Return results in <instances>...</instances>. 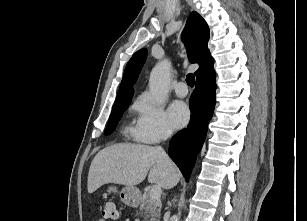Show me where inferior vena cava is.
Here are the masks:
<instances>
[{
    "instance_id": "obj_1",
    "label": "inferior vena cava",
    "mask_w": 307,
    "mask_h": 221,
    "mask_svg": "<svg viewBox=\"0 0 307 221\" xmlns=\"http://www.w3.org/2000/svg\"><path fill=\"white\" fill-rule=\"evenodd\" d=\"M171 133H172V130H171L170 128H168V127L165 128V130H164V132H163V139L168 138V137L171 135ZM158 149L163 153V155H164V157H165L167 163L170 164V163H171L170 158H169L168 155L165 153V151H164L161 147H159V146H158Z\"/></svg>"
}]
</instances>
